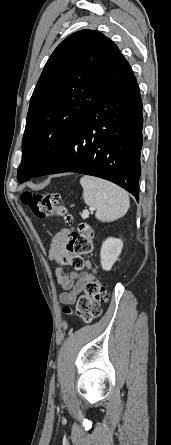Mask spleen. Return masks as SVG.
Returning <instances> with one entry per match:
<instances>
[{"mask_svg":"<svg viewBox=\"0 0 171 445\" xmlns=\"http://www.w3.org/2000/svg\"><path fill=\"white\" fill-rule=\"evenodd\" d=\"M85 204L97 209L96 218L111 222L124 216L130 206L128 194L119 186L93 176L80 179Z\"/></svg>","mask_w":171,"mask_h":445,"instance_id":"obj_1","label":"spleen"}]
</instances>
